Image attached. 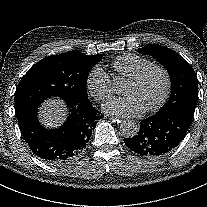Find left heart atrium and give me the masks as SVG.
I'll return each mask as SVG.
<instances>
[{
	"label": "left heart atrium",
	"instance_id": "left-heart-atrium-1",
	"mask_svg": "<svg viewBox=\"0 0 207 207\" xmlns=\"http://www.w3.org/2000/svg\"><path fill=\"white\" fill-rule=\"evenodd\" d=\"M103 108L107 113L122 118L136 117L143 112L131 96L111 98L104 103Z\"/></svg>",
	"mask_w": 207,
	"mask_h": 207
}]
</instances>
